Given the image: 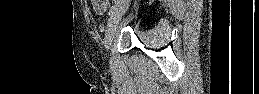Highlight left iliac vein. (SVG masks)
Masks as SVG:
<instances>
[{
	"instance_id": "1",
	"label": "left iliac vein",
	"mask_w": 259,
	"mask_h": 94,
	"mask_svg": "<svg viewBox=\"0 0 259 94\" xmlns=\"http://www.w3.org/2000/svg\"><path fill=\"white\" fill-rule=\"evenodd\" d=\"M123 12H124V7H121L119 9H117L110 16V18L108 20V29H107L106 37H105V40H104V47H105L106 52H108L109 49L111 48L113 38H114V34L116 32V28H117L119 22L121 21Z\"/></svg>"
}]
</instances>
